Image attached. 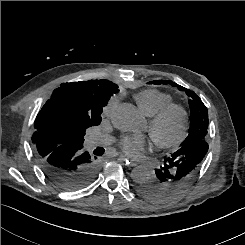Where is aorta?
Masks as SVG:
<instances>
[{"instance_id":"1","label":"aorta","mask_w":245,"mask_h":245,"mask_svg":"<svg viewBox=\"0 0 245 245\" xmlns=\"http://www.w3.org/2000/svg\"><path fill=\"white\" fill-rule=\"evenodd\" d=\"M112 123L121 131L139 132L144 128L145 120L134 105L121 103L113 110ZM131 176L135 182L145 183L154 174L150 169L138 166L132 170Z\"/></svg>"}]
</instances>
